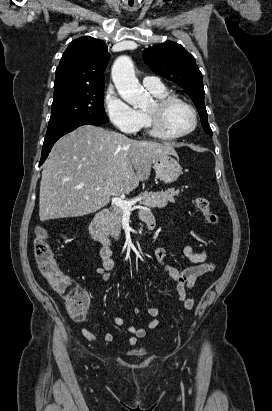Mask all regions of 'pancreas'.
Returning <instances> with one entry per match:
<instances>
[{"instance_id": "cf45deb5", "label": "pancreas", "mask_w": 272, "mask_h": 411, "mask_svg": "<svg viewBox=\"0 0 272 411\" xmlns=\"http://www.w3.org/2000/svg\"><path fill=\"white\" fill-rule=\"evenodd\" d=\"M179 194L175 188H170L160 192H144L140 204L150 208H164L167 204L175 202V196ZM123 210L118 206H113L106 221L105 231L115 239H119L122 227Z\"/></svg>"}]
</instances>
